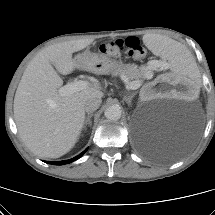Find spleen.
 Instances as JSON below:
<instances>
[{"label":"spleen","mask_w":215,"mask_h":215,"mask_svg":"<svg viewBox=\"0 0 215 215\" xmlns=\"http://www.w3.org/2000/svg\"><path fill=\"white\" fill-rule=\"evenodd\" d=\"M144 44L157 55L166 57V62L170 64L172 72L178 73L187 82L195 80L199 73V67L190 50L154 35H147Z\"/></svg>","instance_id":"1"}]
</instances>
